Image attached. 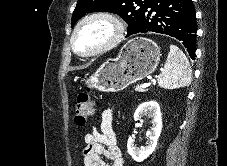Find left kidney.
<instances>
[{"label": "left kidney", "mask_w": 227, "mask_h": 166, "mask_svg": "<svg viewBox=\"0 0 227 166\" xmlns=\"http://www.w3.org/2000/svg\"><path fill=\"white\" fill-rule=\"evenodd\" d=\"M144 115L152 118V128L149 132V141L147 146L138 148L131 137H129L127 141L128 153L136 162L144 161L154 152L162 130L160 106L156 101H148L139 105L134 113V120L139 121Z\"/></svg>", "instance_id": "left-kidney-1"}]
</instances>
